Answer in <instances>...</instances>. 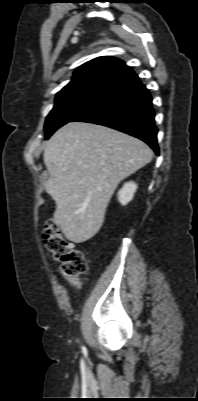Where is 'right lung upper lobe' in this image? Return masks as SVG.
<instances>
[{"label": "right lung upper lobe", "mask_w": 198, "mask_h": 401, "mask_svg": "<svg viewBox=\"0 0 198 401\" xmlns=\"http://www.w3.org/2000/svg\"><path fill=\"white\" fill-rule=\"evenodd\" d=\"M134 74V71L117 58L98 57L76 69L72 80L57 93V96L80 89L111 90Z\"/></svg>", "instance_id": "1"}]
</instances>
